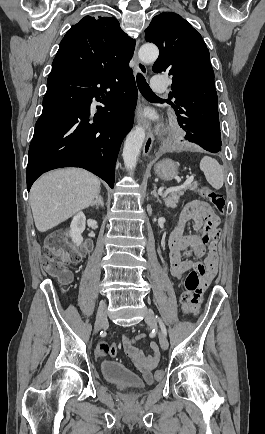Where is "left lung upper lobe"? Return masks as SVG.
Listing matches in <instances>:
<instances>
[{"label": "left lung upper lobe", "instance_id": "1", "mask_svg": "<svg viewBox=\"0 0 265 434\" xmlns=\"http://www.w3.org/2000/svg\"><path fill=\"white\" fill-rule=\"evenodd\" d=\"M145 39L159 48L155 73L172 75L171 106L183 129L220 132L218 98L209 50L202 36L174 12L156 15L145 30Z\"/></svg>", "mask_w": 265, "mask_h": 434}]
</instances>
